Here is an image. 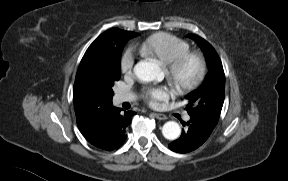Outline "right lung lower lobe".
I'll use <instances>...</instances> for the list:
<instances>
[{
    "label": "right lung lower lobe",
    "mask_w": 288,
    "mask_h": 181,
    "mask_svg": "<svg viewBox=\"0 0 288 181\" xmlns=\"http://www.w3.org/2000/svg\"><path fill=\"white\" fill-rule=\"evenodd\" d=\"M135 112L127 111L124 114L121 113V109L115 108L112 114L111 127L113 130V135L110 138L109 143L105 150H113L119 148L126 140L125 129L131 123V117Z\"/></svg>",
    "instance_id": "98d812e1"
}]
</instances>
